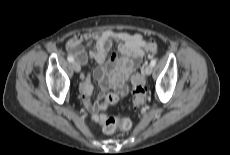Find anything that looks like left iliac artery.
Segmentation results:
<instances>
[{"mask_svg": "<svg viewBox=\"0 0 230 155\" xmlns=\"http://www.w3.org/2000/svg\"><path fill=\"white\" fill-rule=\"evenodd\" d=\"M156 62H157L156 59H152L150 62V65L154 67L156 65Z\"/></svg>", "mask_w": 230, "mask_h": 155, "instance_id": "left-iliac-artery-1", "label": "left iliac artery"}]
</instances>
